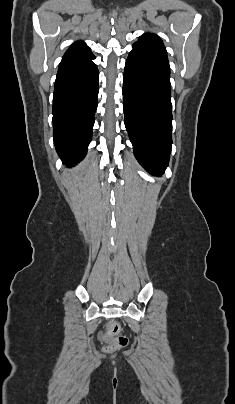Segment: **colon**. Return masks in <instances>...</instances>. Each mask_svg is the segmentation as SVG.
Masks as SVG:
<instances>
[{
	"label": "colon",
	"mask_w": 235,
	"mask_h": 404,
	"mask_svg": "<svg viewBox=\"0 0 235 404\" xmlns=\"http://www.w3.org/2000/svg\"><path fill=\"white\" fill-rule=\"evenodd\" d=\"M119 325L115 322L107 324V330L101 335V339L106 343L107 351H116L128 344V338L125 335H116Z\"/></svg>",
	"instance_id": "5ec220e1"
}]
</instances>
